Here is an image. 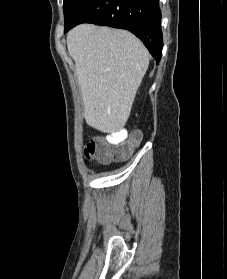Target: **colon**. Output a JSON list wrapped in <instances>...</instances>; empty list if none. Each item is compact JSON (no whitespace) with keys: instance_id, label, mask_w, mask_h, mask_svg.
Wrapping results in <instances>:
<instances>
[{"instance_id":"5ec220e1","label":"colon","mask_w":227,"mask_h":279,"mask_svg":"<svg viewBox=\"0 0 227 279\" xmlns=\"http://www.w3.org/2000/svg\"><path fill=\"white\" fill-rule=\"evenodd\" d=\"M141 137L140 131H134L126 141L113 147L109 146L103 139H95L84 148V156L87 160L99 163H108L114 157L126 159L139 145Z\"/></svg>"}]
</instances>
